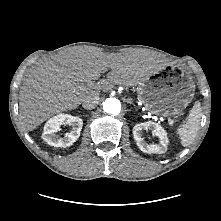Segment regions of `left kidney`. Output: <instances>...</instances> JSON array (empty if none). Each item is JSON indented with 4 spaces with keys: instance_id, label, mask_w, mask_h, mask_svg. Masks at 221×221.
Returning <instances> with one entry per match:
<instances>
[{
    "instance_id": "left-kidney-1",
    "label": "left kidney",
    "mask_w": 221,
    "mask_h": 221,
    "mask_svg": "<svg viewBox=\"0 0 221 221\" xmlns=\"http://www.w3.org/2000/svg\"><path fill=\"white\" fill-rule=\"evenodd\" d=\"M143 130H151L154 136L159 138V144H147L144 142V138L142 137ZM133 135L134 139L137 143L139 149L143 152L147 153H164L167 150V145L169 143L167 133L164 128L152 121L143 122L136 124L133 127Z\"/></svg>"
}]
</instances>
